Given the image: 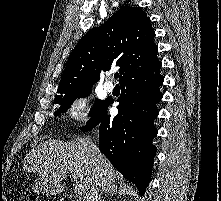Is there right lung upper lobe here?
Listing matches in <instances>:
<instances>
[{
  "label": "right lung upper lobe",
  "mask_w": 221,
  "mask_h": 201,
  "mask_svg": "<svg viewBox=\"0 0 221 201\" xmlns=\"http://www.w3.org/2000/svg\"><path fill=\"white\" fill-rule=\"evenodd\" d=\"M150 19L140 8L124 6L92 28L71 52L57 95L91 89L102 71L119 66L120 82L156 65L158 48Z\"/></svg>",
  "instance_id": "cb5924a9"
}]
</instances>
